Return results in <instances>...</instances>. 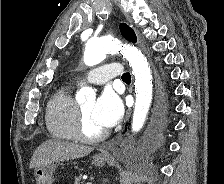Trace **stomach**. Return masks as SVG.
<instances>
[{
  "label": "stomach",
  "mask_w": 224,
  "mask_h": 184,
  "mask_svg": "<svg viewBox=\"0 0 224 184\" xmlns=\"http://www.w3.org/2000/svg\"><path fill=\"white\" fill-rule=\"evenodd\" d=\"M107 161L108 157L97 154L93 156L92 163L97 167H103ZM56 168L57 166L54 163L37 167L34 172L37 184H52Z\"/></svg>",
  "instance_id": "stomach-1"
}]
</instances>
